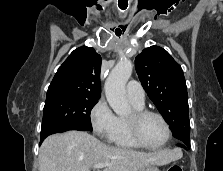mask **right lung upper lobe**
I'll list each match as a JSON object with an SVG mask.
<instances>
[{"instance_id": "right-lung-upper-lobe-1", "label": "right lung upper lobe", "mask_w": 223, "mask_h": 171, "mask_svg": "<svg viewBox=\"0 0 223 171\" xmlns=\"http://www.w3.org/2000/svg\"><path fill=\"white\" fill-rule=\"evenodd\" d=\"M100 67L101 56L94 48L75 49L58 68L46 99L65 95L100 98Z\"/></svg>"}]
</instances>
